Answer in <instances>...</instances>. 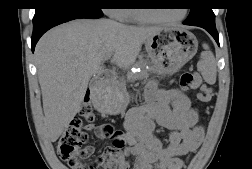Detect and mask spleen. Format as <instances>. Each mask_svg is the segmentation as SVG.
Listing matches in <instances>:
<instances>
[{
  "instance_id": "spleen-1",
  "label": "spleen",
  "mask_w": 252,
  "mask_h": 169,
  "mask_svg": "<svg viewBox=\"0 0 252 169\" xmlns=\"http://www.w3.org/2000/svg\"><path fill=\"white\" fill-rule=\"evenodd\" d=\"M203 51L200 55V61L197 64V69L201 73L203 79L208 84L216 82L217 68L214 54L209 50L207 44H203Z\"/></svg>"
}]
</instances>
